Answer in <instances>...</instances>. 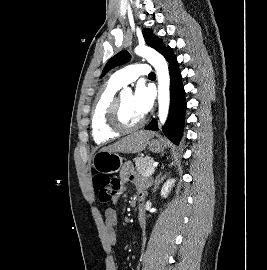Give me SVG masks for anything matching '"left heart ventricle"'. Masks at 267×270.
I'll list each match as a JSON object with an SVG mask.
<instances>
[{"label": "left heart ventricle", "mask_w": 267, "mask_h": 270, "mask_svg": "<svg viewBox=\"0 0 267 270\" xmlns=\"http://www.w3.org/2000/svg\"><path fill=\"white\" fill-rule=\"evenodd\" d=\"M121 117L127 125L135 124L141 120L142 116L134 108L132 95L121 97Z\"/></svg>", "instance_id": "left-heart-ventricle-1"}]
</instances>
